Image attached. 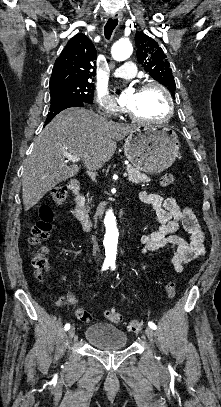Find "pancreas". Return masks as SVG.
I'll list each match as a JSON object with an SVG mask.
<instances>
[{
  "mask_svg": "<svg viewBox=\"0 0 221 407\" xmlns=\"http://www.w3.org/2000/svg\"><path fill=\"white\" fill-rule=\"evenodd\" d=\"M126 171L128 172V180L132 183H147L150 181V178L144 174L141 173L139 170L136 168L132 167L131 165H127Z\"/></svg>",
  "mask_w": 221,
  "mask_h": 407,
  "instance_id": "1",
  "label": "pancreas"
}]
</instances>
